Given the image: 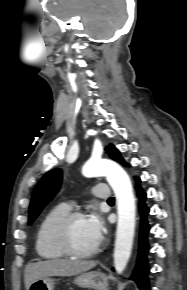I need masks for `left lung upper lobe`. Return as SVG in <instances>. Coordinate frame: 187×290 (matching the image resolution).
Instances as JSON below:
<instances>
[{"label": "left lung upper lobe", "mask_w": 187, "mask_h": 290, "mask_svg": "<svg viewBox=\"0 0 187 290\" xmlns=\"http://www.w3.org/2000/svg\"><path fill=\"white\" fill-rule=\"evenodd\" d=\"M106 151L110 158L125 164L119 151L113 146L106 147ZM62 180V172L60 169H54L48 172L37 184L32 194L29 209V222L32 224L42 209L52 200L58 192Z\"/></svg>", "instance_id": "obj_1"}]
</instances>
